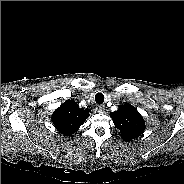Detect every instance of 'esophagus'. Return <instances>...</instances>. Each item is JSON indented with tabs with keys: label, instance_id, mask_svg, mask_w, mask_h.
<instances>
[{
	"label": "esophagus",
	"instance_id": "obj_1",
	"mask_svg": "<svg viewBox=\"0 0 184 184\" xmlns=\"http://www.w3.org/2000/svg\"><path fill=\"white\" fill-rule=\"evenodd\" d=\"M104 110H105L104 105H97V106H96V111H97L98 113H103Z\"/></svg>",
	"mask_w": 184,
	"mask_h": 184
}]
</instances>
